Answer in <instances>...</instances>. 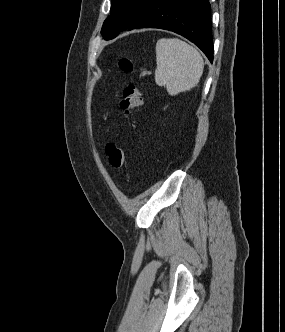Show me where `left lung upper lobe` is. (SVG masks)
Wrapping results in <instances>:
<instances>
[{"instance_id":"obj_1","label":"left lung upper lobe","mask_w":285,"mask_h":332,"mask_svg":"<svg viewBox=\"0 0 285 332\" xmlns=\"http://www.w3.org/2000/svg\"><path fill=\"white\" fill-rule=\"evenodd\" d=\"M110 16L104 21L101 33L105 40L115 38L146 9L152 0H112Z\"/></svg>"}]
</instances>
